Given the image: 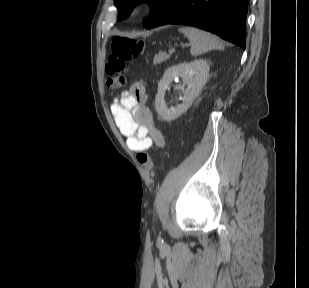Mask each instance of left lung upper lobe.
I'll list each match as a JSON object with an SVG mask.
<instances>
[{"instance_id":"left-lung-upper-lobe-1","label":"left lung upper lobe","mask_w":309,"mask_h":288,"mask_svg":"<svg viewBox=\"0 0 309 288\" xmlns=\"http://www.w3.org/2000/svg\"><path fill=\"white\" fill-rule=\"evenodd\" d=\"M169 1L170 0H114L115 5L119 11L118 20L126 17L136 3L149 2L152 10L149 17L144 22V25H146L154 16H156L168 4Z\"/></svg>"}]
</instances>
